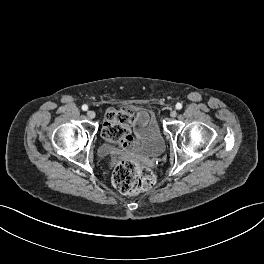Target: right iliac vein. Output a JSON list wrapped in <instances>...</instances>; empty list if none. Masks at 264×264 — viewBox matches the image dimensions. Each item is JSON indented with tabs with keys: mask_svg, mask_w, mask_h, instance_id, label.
I'll return each instance as SVG.
<instances>
[{
	"mask_svg": "<svg viewBox=\"0 0 264 264\" xmlns=\"http://www.w3.org/2000/svg\"><path fill=\"white\" fill-rule=\"evenodd\" d=\"M95 112L94 111H92V110H89L88 112H87V116H88V118H90V119H93V118H95Z\"/></svg>",
	"mask_w": 264,
	"mask_h": 264,
	"instance_id": "63e3f726",
	"label": "right iliac vein"
}]
</instances>
